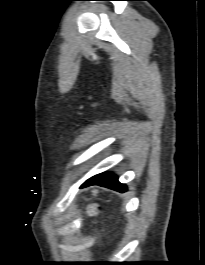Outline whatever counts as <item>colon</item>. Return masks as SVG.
I'll return each mask as SVG.
<instances>
[{
	"instance_id": "5ec220e1",
	"label": "colon",
	"mask_w": 205,
	"mask_h": 265,
	"mask_svg": "<svg viewBox=\"0 0 205 265\" xmlns=\"http://www.w3.org/2000/svg\"><path fill=\"white\" fill-rule=\"evenodd\" d=\"M88 213H89V215H94L95 214V208L94 207H89Z\"/></svg>"
}]
</instances>
